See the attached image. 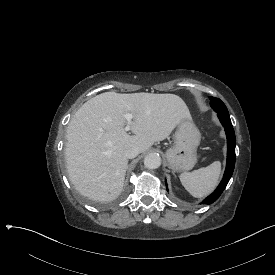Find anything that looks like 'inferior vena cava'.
I'll use <instances>...</instances> for the list:
<instances>
[{"label":"inferior vena cava","mask_w":275,"mask_h":275,"mask_svg":"<svg viewBox=\"0 0 275 275\" xmlns=\"http://www.w3.org/2000/svg\"><path fill=\"white\" fill-rule=\"evenodd\" d=\"M139 153V147L135 144H128L124 148V154L127 158H135Z\"/></svg>","instance_id":"obj_1"}]
</instances>
